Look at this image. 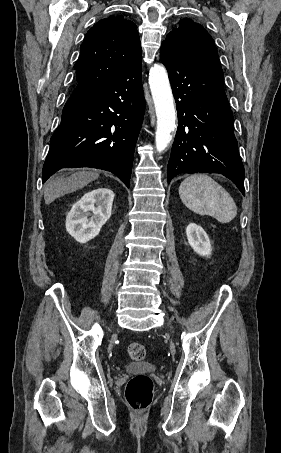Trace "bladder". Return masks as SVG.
Here are the masks:
<instances>
[{"mask_svg":"<svg viewBox=\"0 0 281 453\" xmlns=\"http://www.w3.org/2000/svg\"><path fill=\"white\" fill-rule=\"evenodd\" d=\"M127 371L131 373H151L154 371V368L147 363H130L127 365Z\"/></svg>","mask_w":281,"mask_h":453,"instance_id":"bladder-1","label":"bladder"}]
</instances>
